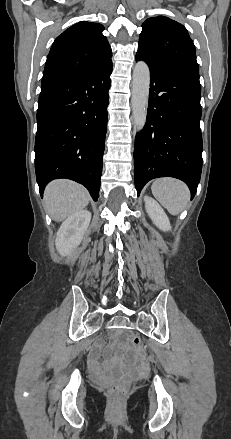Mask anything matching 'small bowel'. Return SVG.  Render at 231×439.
<instances>
[{
	"label": "small bowel",
	"mask_w": 231,
	"mask_h": 439,
	"mask_svg": "<svg viewBox=\"0 0 231 439\" xmlns=\"http://www.w3.org/2000/svg\"><path fill=\"white\" fill-rule=\"evenodd\" d=\"M92 368H93L94 372L97 375H99V376L103 375V371H102L101 365H100L99 361L96 358L92 359ZM140 369L144 370L145 366L144 365H140Z\"/></svg>",
	"instance_id": "c3829d8e"
}]
</instances>
